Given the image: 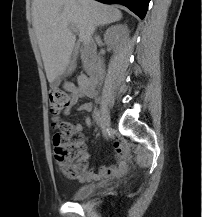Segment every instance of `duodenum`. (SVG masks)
Masks as SVG:
<instances>
[{"label":"duodenum","instance_id":"duodenum-1","mask_svg":"<svg viewBox=\"0 0 202 217\" xmlns=\"http://www.w3.org/2000/svg\"><path fill=\"white\" fill-rule=\"evenodd\" d=\"M86 50L88 51V53L90 52V47H87ZM91 68V74L95 75L96 74V67L94 65L90 66ZM81 86L84 88V90L87 93L92 94L94 92V79H90V78H86L84 76H81Z\"/></svg>","mask_w":202,"mask_h":217}]
</instances>
